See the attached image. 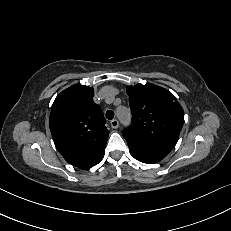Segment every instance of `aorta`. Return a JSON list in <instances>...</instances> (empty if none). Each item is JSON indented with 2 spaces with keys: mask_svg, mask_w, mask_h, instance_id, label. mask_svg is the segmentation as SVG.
Here are the masks:
<instances>
[{
  "mask_svg": "<svg viewBox=\"0 0 231 231\" xmlns=\"http://www.w3.org/2000/svg\"><path fill=\"white\" fill-rule=\"evenodd\" d=\"M123 111H125V112L128 114V116H130V112H129L127 109H120V110H119V113H121V112H123Z\"/></svg>",
  "mask_w": 231,
  "mask_h": 231,
  "instance_id": "aorta-1",
  "label": "aorta"
}]
</instances>
